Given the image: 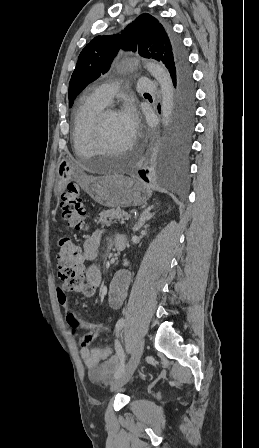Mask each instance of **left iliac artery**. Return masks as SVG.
Here are the masks:
<instances>
[{
	"label": "left iliac artery",
	"instance_id": "left-iliac-artery-1",
	"mask_svg": "<svg viewBox=\"0 0 259 448\" xmlns=\"http://www.w3.org/2000/svg\"><path fill=\"white\" fill-rule=\"evenodd\" d=\"M125 325V320L123 318L119 319L118 322L116 323V332H119ZM115 350L116 353L120 359V361L122 362V364L124 363L125 360V354H124V350L120 344V342L118 341V339L115 340ZM124 372V368L121 367L118 371H116L114 377L117 379L118 377H120Z\"/></svg>",
	"mask_w": 259,
	"mask_h": 448
}]
</instances>
